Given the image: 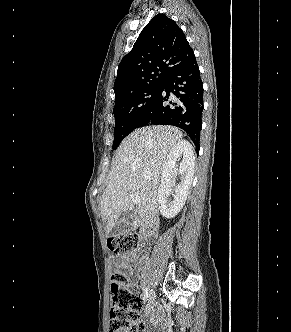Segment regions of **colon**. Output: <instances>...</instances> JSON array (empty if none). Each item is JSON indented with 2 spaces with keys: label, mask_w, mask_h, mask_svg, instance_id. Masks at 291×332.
I'll list each match as a JSON object with an SVG mask.
<instances>
[{
  "label": "colon",
  "mask_w": 291,
  "mask_h": 332,
  "mask_svg": "<svg viewBox=\"0 0 291 332\" xmlns=\"http://www.w3.org/2000/svg\"><path fill=\"white\" fill-rule=\"evenodd\" d=\"M108 248L127 262L139 258L138 237L134 233H122L108 239ZM142 309L141 297L131 288L129 277L123 272L111 276V310L109 332H145L139 323Z\"/></svg>",
  "instance_id": "colon-1"
}]
</instances>
